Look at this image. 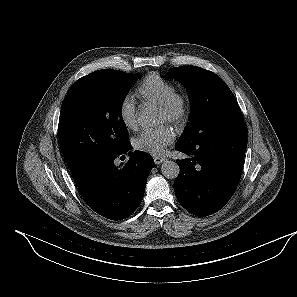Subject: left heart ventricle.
Masks as SVG:
<instances>
[{
	"instance_id": "obj_1",
	"label": "left heart ventricle",
	"mask_w": 297,
	"mask_h": 297,
	"mask_svg": "<svg viewBox=\"0 0 297 297\" xmlns=\"http://www.w3.org/2000/svg\"><path fill=\"white\" fill-rule=\"evenodd\" d=\"M160 119H161L162 122L167 120V117H166L165 113L162 112L161 110H160Z\"/></svg>"
}]
</instances>
